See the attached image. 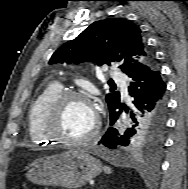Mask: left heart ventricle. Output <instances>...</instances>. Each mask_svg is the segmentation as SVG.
I'll list each match as a JSON object with an SVG mask.
<instances>
[{"instance_id": "b2bd125f", "label": "left heart ventricle", "mask_w": 188, "mask_h": 189, "mask_svg": "<svg viewBox=\"0 0 188 189\" xmlns=\"http://www.w3.org/2000/svg\"><path fill=\"white\" fill-rule=\"evenodd\" d=\"M95 116L91 107L84 101L67 102L60 114L57 130L68 138H82L93 128Z\"/></svg>"}]
</instances>
